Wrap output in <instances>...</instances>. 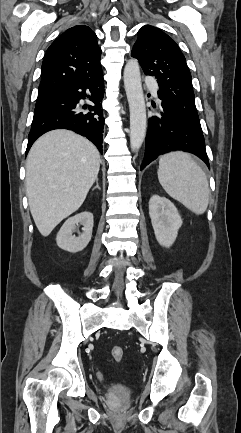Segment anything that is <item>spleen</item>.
Segmentation results:
<instances>
[{"instance_id": "3e777b00", "label": "spleen", "mask_w": 241, "mask_h": 433, "mask_svg": "<svg viewBox=\"0 0 241 433\" xmlns=\"http://www.w3.org/2000/svg\"><path fill=\"white\" fill-rule=\"evenodd\" d=\"M158 180L170 197L194 214L206 211L209 203L207 177L190 154L176 151L161 156Z\"/></svg>"}]
</instances>
